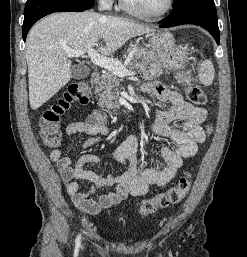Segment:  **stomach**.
<instances>
[{"instance_id":"0dacf381","label":"stomach","mask_w":247,"mask_h":257,"mask_svg":"<svg viewBox=\"0 0 247 257\" xmlns=\"http://www.w3.org/2000/svg\"><path fill=\"white\" fill-rule=\"evenodd\" d=\"M149 45L150 50H138V57L153 60L167 69H179L186 61L187 51L176 42L170 32L152 34Z\"/></svg>"}]
</instances>
